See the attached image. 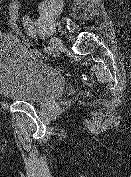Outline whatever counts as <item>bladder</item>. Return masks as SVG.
Returning a JSON list of instances; mask_svg holds the SVG:
<instances>
[{
    "label": "bladder",
    "mask_w": 131,
    "mask_h": 177,
    "mask_svg": "<svg viewBox=\"0 0 131 177\" xmlns=\"http://www.w3.org/2000/svg\"><path fill=\"white\" fill-rule=\"evenodd\" d=\"M65 87L64 74L36 57L18 36L0 35V95L39 104L56 98Z\"/></svg>",
    "instance_id": "31cf9c89"
}]
</instances>
